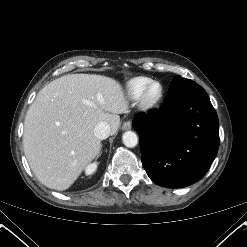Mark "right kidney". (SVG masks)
Here are the masks:
<instances>
[{
    "instance_id": "1",
    "label": "right kidney",
    "mask_w": 247,
    "mask_h": 247,
    "mask_svg": "<svg viewBox=\"0 0 247 247\" xmlns=\"http://www.w3.org/2000/svg\"><path fill=\"white\" fill-rule=\"evenodd\" d=\"M97 166H98V163L97 162H93V163L89 164L85 168V174L86 175H92L96 171Z\"/></svg>"
}]
</instances>
